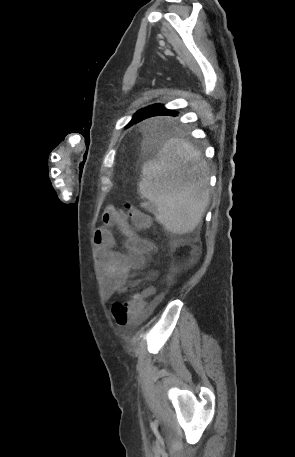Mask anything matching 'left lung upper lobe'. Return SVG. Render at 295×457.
<instances>
[{"instance_id": "1", "label": "left lung upper lobe", "mask_w": 295, "mask_h": 457, "mask_svg": "<svg viewBox=\"0 0 295 457\" xmlns=\"http://www.w3.org/2000/svg\"><path fill=\"white\" fill-rule=\"evenodd\" d=\"M158 105V104H154V105H151V106H148L146 108H143V109H140L136 112V114H134L132 120L127 124L126 127H129L131 126L132 124L134 123H137V122H140L148 117H151V113L154 109V107Z\"/></svg>"}]
</instances>
